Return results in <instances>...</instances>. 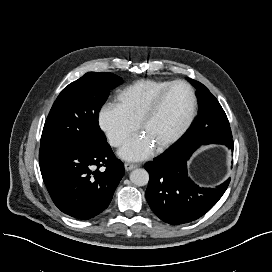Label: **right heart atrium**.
<instances>
[{
  "mask_svg": "<svg viewBox=\"0 0 272 272\" xmlns=\"http://www.w3.org/2000/svg\"><path fill=\"white\" fill-rule=\"evenodd\" d=\"M97 124L114 147L121 146L137 129V124L113 103L101 105L97 113Z\"/></svg>",
  "mask_w": 272,
  "mask_h": 272,
  "instance_id": "d8ad5b80",
  "label": "right heart atrium"
}]
</instances>
